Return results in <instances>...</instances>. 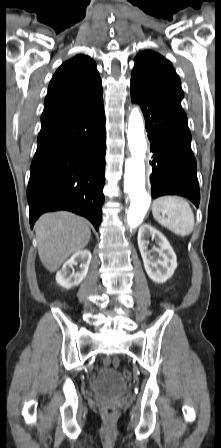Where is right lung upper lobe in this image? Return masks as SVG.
I'll list each match as a JSON object with an SVG mask.
<instances>
[{"instance_id":"cb5924a9","label":"right lung upper lobe","mask_w":221,"mask_h":448,"mask_svg":"<svg viewBox=\"0 0 221 448\" xmlns=\"http://www.w3.org/2000/svg\"><path fill=\"white\" fill-rule=\"evenodd\" d=\"M102 92L95 62L85 55L71 58L57 69L50 81L42 126L92 103L102 97Z\"/></svg>"}]
</instances>
